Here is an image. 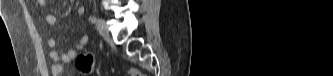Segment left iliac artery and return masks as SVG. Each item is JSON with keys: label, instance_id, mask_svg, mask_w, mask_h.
<instances>
[{"label": "left iliac artery", "instance_id": "left-iliac-artery-1", "mask_svg": "<svg viewBox=\"0 0 333 76\" xmlns=\"http://www.w3.org/2000/svg\"><path fill=\"white\" fill-rule=\"evenodd\" d=\"M89 21L92 22V23H95L96 22V17L95 16H90Z\"/></svg>", "mask_w": 333, "mask_h": 76}]
</instances>
